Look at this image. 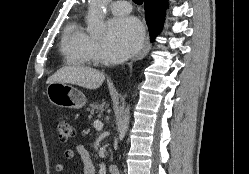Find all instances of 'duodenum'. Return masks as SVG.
<instances>
[{
	"label": "duodenum",
	"mask_w": 249,
	"mask_h": 174,
	"mask_svg": "<svg viewBox=\"0 0 249 174\" xmlns=\"http://www.w3.org/2000/svg\"><path fill=\"white\" fill-rule=\"evenodd\" d=\"M108 172L109 174H119V167L116 164H110L108 166Z\"/></svg>",
	"instance_id": "1"
}]
</instances>
